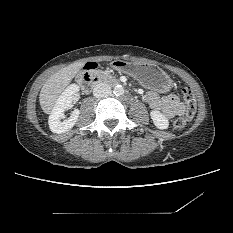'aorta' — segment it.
Here are the masks:
<instances>
[{"label":"aorta","mask_w":233,"mask_h":233,"mask_svg":"<svg viewBox=\"0 0 233 233\" xmlns=\"http://www.w3.org/2000/svg\"><path fill=\"white\" fill-rule=\"evenodd\" d=\"M113 93L116 95V96H121L124 94V88L121 86V85H117L115 86L114 90H113Z\"/></svg>","instance_id":"aorta-1"}]
</instances>
